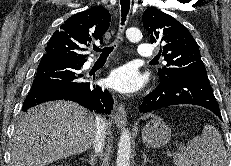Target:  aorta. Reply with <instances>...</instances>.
<instances>
[{
    "instance_id": "762f6f07",
    "label": "aorta",
    "mask_w": 231,
    "mask_h": 166,
    "mask_svg": "<svg viewBox=\"0 0 231 166\" xmlns=\"http://www.w3.org/2000/svg\"><path fill=\"white\" fill-rule=\"evenodd\" d=\"M126 37L131 42H139L142 39V33L138 28H128ZM131 136L127 129H124L120 135L116 166H130Z\"/></svg>"
}]
</instances>
